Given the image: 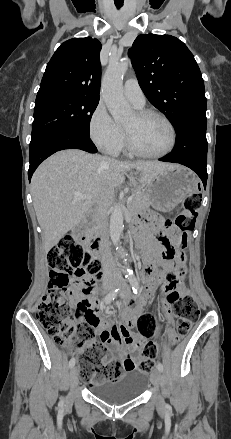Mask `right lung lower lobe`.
<instances>
[{
	"label": "right lung lower lobe",
	"instance_id": "right-lung-lower-lobe-1",
	"mask_svg": "<svg viewBox=\"0 0 231 439\" xmlns=\"http://www.w3.org/2000/svg\"><path fill=\"white\" fill-rule=\"evenodd\" d=\"M64 149H81L89 153L97 152V148L88 134L71 128L50 131L36 141L30 142L29 180L42 161L53 153Z\"/></svg>",
	"mask_w": 231,
	"mask_h": 439
}]
</instances>
